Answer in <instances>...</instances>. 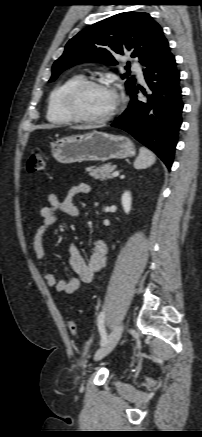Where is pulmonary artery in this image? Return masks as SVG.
<instances>
[{
	"label": "pulmonary artery",
	"mask_w": 202,
	"mask_h": 437,
	"mask_svg": "<svg viewBox=\"0 0 202 437\" xmlns=\"http://www.w3.org/2000/svg\"><path fill=\"white\" fill-rule=\"evenodd\" d=\"M132 67H133L134 71L137 73L139 79L142 80L143 79V72L141 70L140 65L137 62H133Z\"/></svg>",
	"instance_id": "e3ab8cb5"
}]
</instances>
